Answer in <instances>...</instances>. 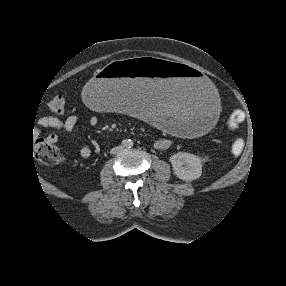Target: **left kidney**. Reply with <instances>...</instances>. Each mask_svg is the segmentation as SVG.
<instances>
[{
  "instance_id": "1",
  "label": "left kidney",
  "mask_w": 286,
  "mask_h": 286,
  "mask_svg": "<svg viewBox=\"0 0 286 286\" xmlns=\"http://www.w3.org/2000/svg\"><path fill=\"white\" fill-rule=\"evenodd\" d=\"M174 174L181 180L191 182L202 174V164L198 156L187 152H178L169 159Z\"/></svg>"
}]
</instances>
